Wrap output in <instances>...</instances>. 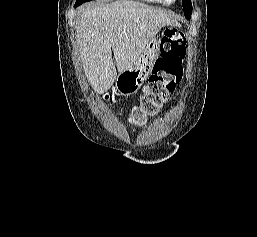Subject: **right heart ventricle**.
Returning a JSON list of instances; mask_svg holds the SVG:
<instances>
[{"label": "right heart ventricle", "mask_w": 257, "mask_h": 237, "mask_svg": "<svg viewBox=\"0 0 257 237\" xmlns=\"http://www.w3.org/2000/svg\"><path fill=\"white\" fill-rule=\"evenodd\" d=\"M144 1L152 4H164L163 0H144Z\"/></svg>", "instance_id": "e07e8e85"}]
</instances>
